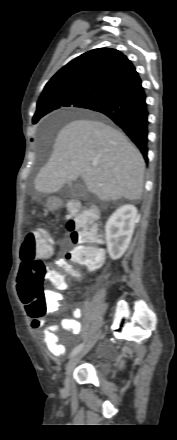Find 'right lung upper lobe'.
<instances>
[{
	"instance_id": "cb5924a9",
	"label": "right lung upper lobe",
	"mask_w": 177,
	"mask_h": 440,
	"mask_svg": "<svg viewBox=\"0 0 177 440\" xmlns=\"http://www.w3.org/2000/svg\"><path fill=\"white\" fill-rule=\"evenodd\" d=\"M139 75L120 51L98 48L70 61L46 84L38 103L61 92H88L102 96L122 87Z\"/></svg>"
}]
</instances>
